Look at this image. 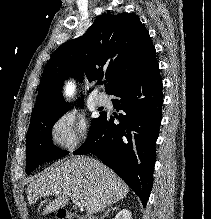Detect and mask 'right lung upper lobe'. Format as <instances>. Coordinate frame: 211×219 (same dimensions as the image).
I'll use <instances>...</instances> for the list:
<instances>
[{
    "label": "right lung upper lobe",
    "instance_id": "obj_1",
    "mask_svg": "<svg viewBox=\"0 0 211 219\" xmlns=\"http://www.w3.org/2000/svg\"><path fill=\"white\" fill-rule=\"evenodd\" d=\"M149 33L135 14H105L79 38L62 44L47 63L31 118L66 106L61 89L67 77L107 79L106 93L145 70L155 57Z\"/></svg>",
    "mask_w": 211,
    "mask_h": 219
}]
</instances>
